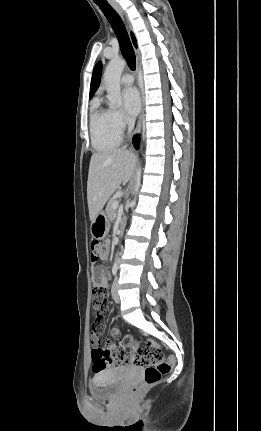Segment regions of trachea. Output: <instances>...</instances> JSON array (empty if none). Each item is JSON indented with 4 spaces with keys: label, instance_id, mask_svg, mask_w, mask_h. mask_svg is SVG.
I'll return each mask as SVG.
<instances>
[{
    "label": "trachea",
    "instance_id": "1",
    "mask_svg": "<svg viewBox=\"0 0 261 431\" xmlns=\"http://www.w3.org/2000/svg\"><path fill=\"white\" fill-rule=\"evenodd\" d=\"M107 20L109 21L120 45V50L123 57L125 58L129 68L135 70L136 68V57L135 53L125 28V25L118 15V13L108 4L97 3Z\"/></svg>",
    "mask_w": 261,
    "mask_h": 431
}]
</instances>
